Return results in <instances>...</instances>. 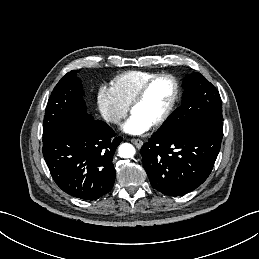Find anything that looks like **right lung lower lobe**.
Masks as SVG:
<instances>
[{"label": "right lung lower lobe", "mask_w": 259, "mask_h": 259, "mask_svg": "<svg viewBox=\"0 0 259 259\" xmlns=\"http://www.w3.org/2000/svg\"><path fill=\"white\" fill-rule=\"evenodd\" d=\"M122 137L105 122H59L43 136V156L56 184L67 194L96 200L113 187L112 156Z\"/></svg>", "instance_id": "98d812e1"}]
</instances>
